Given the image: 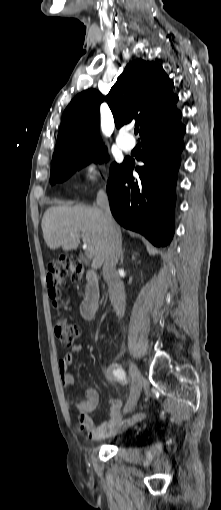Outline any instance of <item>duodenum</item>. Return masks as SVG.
I'll list each match as a JSON object with an SVG mask.
<instances>
[{
    "label": "duodenum",
    "mask_w": 221,
    "mask_h": 510,
    "mask_svg": "<svg viewBox=\"0 0 221 510\" xmlns=\"http://www.w3.org/2000/svg\"><path fill=\"white\" fill-rule=\"evenodd\" d=\"M87 284L81 303V314L85 320H92L99 307L100 289L97 274L91 269L86 271Z\"/></svg>",
    "instance_id": "duodenum-1"
}]
</instances>
